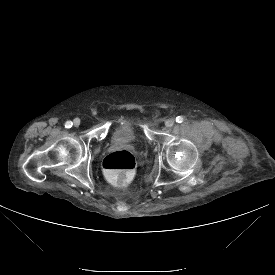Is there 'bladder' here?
<instances>
[{
  "label": "bladder",
  "mask_w": 275,
  "mask_h": 275,
  "mask_svg": "<svg viewBox=\"0 0 275 275\" xmlns=\"http://www.w3.org/2000/svg\"><path fill=\"white\" fill-rule=\"evenodd\" d=\"M112 138L117 141H132L138 132L136 117L127 113H118L112 120Z\"/></svg>",
  "instance_id": "1"
}]
</instances>
